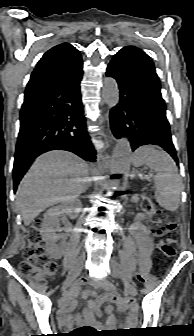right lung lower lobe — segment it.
<instances>
[{
  "instance_id": "98d812e1",
  "label": "right lung lower lobe",
  "mask_w": 194,
  "mask_h": 336,
  "mask_svg": "<svg viewBox=\"0 0 194 336\" xmlns=\"http://www.w3.org/2000/svg\"><path fill=\"white\" fill-rule=\"evenodd\" d=\"M82 65L66 77L25 92L13 168L14 192L40 154L62 149L94 162L80 94Z\"/></svg>"
}]
</instances>
